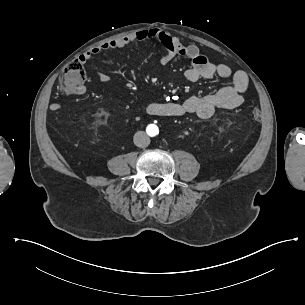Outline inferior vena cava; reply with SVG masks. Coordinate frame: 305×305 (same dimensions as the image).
Listing matches in <instances>:
<instances>
[{"label":"inferior vena cava","instance_id":"inferior-vena-cava-1","mask_svg":"<svg viewBox=\"0 0 305 305\" xmlns=\"http://www.w3.org/2000/svg\"><path fill=\"white\" fill-rule=\"evenodd\" d=\"M133 142L137 147H147L150 143L148 135L144 131H137L134 134Z\"/></svg>","mask_w":305,"mask_h":305}]
</instances>
